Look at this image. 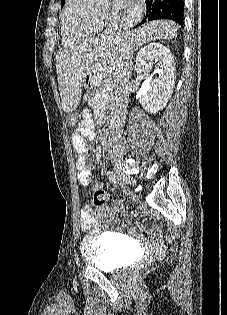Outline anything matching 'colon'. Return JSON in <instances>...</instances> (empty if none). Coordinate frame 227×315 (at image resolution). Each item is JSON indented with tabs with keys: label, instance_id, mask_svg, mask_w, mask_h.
<instances>
[{
	"label": "colon",
	"instance_id": "obj_1",
	"mask_svg": "<svg viewBox=\"0 0 227 315\" xmlns=\"http://www.w3.org/2000/svg\"><path fill=\"white\" fill-rule=\"evenodd\" d=\"M67 122H68V125L71 127L76 126L78 123L77 115L69 114ZM107 199H108V195L105 191L101 189L95 190L93 194V202H94V205L99 209L98 210L99 216H106L109 213V210L106 208ZM103 221H106V218H103ZM147 268H148L147 265H143L138 270V272L145 271Z\"/></svg>",
	"mask_w": 227,
	"mask_h": 315
}]
</instances>
